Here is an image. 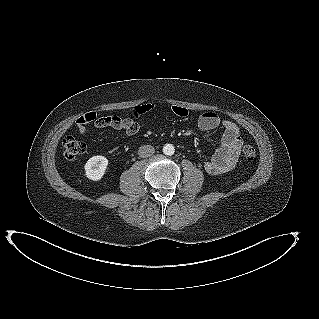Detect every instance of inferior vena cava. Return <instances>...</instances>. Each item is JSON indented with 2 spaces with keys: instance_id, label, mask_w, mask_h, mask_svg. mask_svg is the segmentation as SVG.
<instances>
[{
  "instance_id": "obj_1",
  "label": "inferior vena cava",
  "mask_w": 319,
  "mask_h": 319,
  "mask_svg": "<svg viewBox=\"0 0 319 319\" xmlns=\"http://www.w3.org/2000/svg\"><path fill=\"white\" fill-rule=\"evenodd\" d=\"M154 152H155V149L151 145H143L138 150V154L142 158H147V157L153 155Z\"/></svg>"
}]
</instances>
